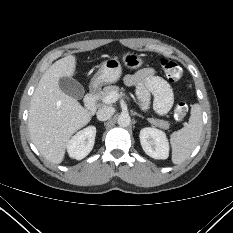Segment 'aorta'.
Returning <instances> with one entry per match:
<instances>
[{
  "mask_svg": "<svg viewBox=\"0 0 233 233\" xmlns=\"http://www.w3.org/2000/svg\"><path fill=\"white\" fill-rule=\"evenodd\" d=\"M118 125L120 127H127L130 125L131 119L130 116L126 113H122L119 117H118Z\"/></svg>",
  "mask_w": 233,
  "mask_h": 233,
  "instance_id": "obj_1",
  "label": "aorta"
}]
</instances>
